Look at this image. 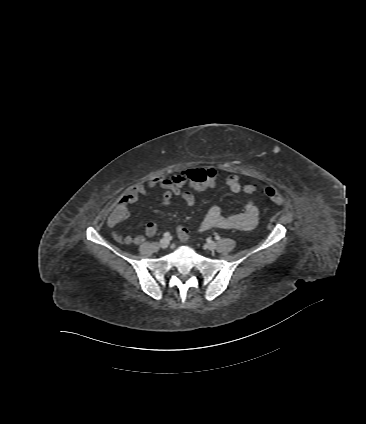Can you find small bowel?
I'll list each match as a JSON object with an SVG mask.
<instances>
[{
    "instance_id": "small-bowel-1",
    "label": "small bowel",
    "mask_w": 366,
    "mask_h": 424,
    "mask_svg": "<svg viewBox=\"0 0 366 424\" xmlns=\"http://www.w3.org/2000/svg\"><path fill=\"white\" fill-rule=\"evenodd\" d=\"M215 172L214 177L205 184L202 188H194L195 190H204L213 187L219 179L218 171L211 169ZM187 182L183 174H178L172 178L159 176L151 179L147 183H139L130 188L122 197L121 203L112 211L107 220L108 227L112 230L113 238L119 242L128 245H138L142 243L145 236L152 237L157 232V225L155 222H148L145 225L144 235H128L123 236L118 231V226L127 218L122 216L121 210L127 209L126 205L136 202L140 196L146 195L151 189L155 187L161 188L164 192L161 195L160 202L162 205H169L174 197H179L188 206L194 205L196 199L193 192L189 190H182V187ZM225 183L229 190L238 194L245 192V185L243 186L236 175H230L226 178ZM246 193V192H245ZM259 210L252 200H248L243 210L240 213L233 215H223L222 209L218 205L212 206L205 214L203 219L197 226L198 231H205L212 228L220 229H236L241 231H251L258 223ZM178 238L181 242H185L189 233L188 230L182 226L176 228Z\"/></svg>"
}]
</instances>
